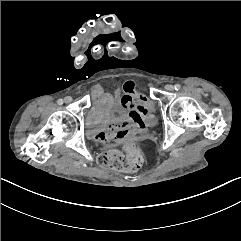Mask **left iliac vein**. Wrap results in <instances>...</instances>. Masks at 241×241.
Masks as SVG:
<instances>
[{"label":"left iliac vein","mask_w":241,"mask_h":241,"mask_svg":"<svg viewBox=\"0 0 241 241\" xmlns=\"http://www.w3.org/2000/svg\"><path fill=\"white\" fill-rule=\"evenodd\" d=\"M165 89H166L167 91H173V90H174V86L168 84V85L165 86Z\"/></svg>","instance_id":"4c4485c4"}]
</instances>
